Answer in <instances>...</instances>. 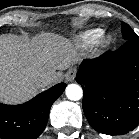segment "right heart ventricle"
Instances as JSON below:
<instances>
[{
    "label": "right heart ventricle",
    "instance_id": "e07e8e85",
    "mask_svg": "<svg viewBox=\"0 0 139 139\" xmlns=\"http://www.w3.org/2000/svg\"><path fill=\"white\" fill-rule=\"evenodd\" d=\"M102 34H103L102 29H98V28L90 29V30H87V31L81 33L78 36V42L83 47H91L98 42V40Z\"/></svg>",
    "mask_w": 139,
    "mask_h": 139
}]
</instances>
